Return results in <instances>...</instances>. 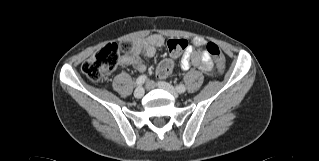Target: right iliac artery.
Masks as SVG:
<instances>
[{"label":"right iliac artery","instance_id":"right-iliac-artery-1","mask_svg":"<svg viewBox=\"0 0 319 161\" xmlns=\"http://www.w3.org/2000/svg\"><path fill=\"white\" fill-rule=\"evenodd\" d=\"M147 76L146 75H141L137 78L136 80V84L141 86L142 84H144V82L146 81Z\"/></svg>","mask_w":319,"mask_h":161}]
</instances>
